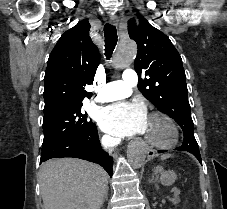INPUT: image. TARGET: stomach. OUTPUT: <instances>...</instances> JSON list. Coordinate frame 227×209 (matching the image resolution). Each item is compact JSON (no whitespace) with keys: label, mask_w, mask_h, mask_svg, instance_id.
<instances>
[{"label":"stomach","mask_w":227,"mask_h":209,"mask_svg":"<svg viewBox=\"0 0 227 209\" xmlns=\"http://www.w3.org/2000/svg\"><path fill=\"white\" fill-rule=\"evenodd\" d=\"M157 173L160 174V181L161 184L168 186L175 182L176 174L173 171H164L163 168L157 167Z\"/></svg>","instance_id":"stomach-1"}]
</instances>
